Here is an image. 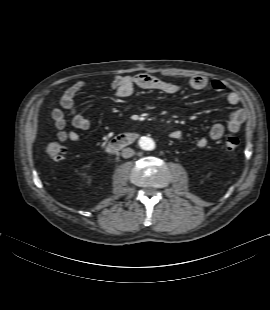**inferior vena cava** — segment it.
I'll return each instance as SVG.
<instances>
[{
  "label": "inferior vena cava",
  "instance_id": "1",
  "mask_svg": "<svg viewBox=\"0 0 270 310\" xmlns=\"http://www.w3.org/2000/svg\"><path fill=\"white\" fill-rule=\"evenodd\" d=\"M134 153H135L134 150L131 149V148H124L122 150V156L124 158H130V157H132L134 155Z\"/></svg>",
  "mask_w": 270,
  "mask_h": 310
}]
</instances>
